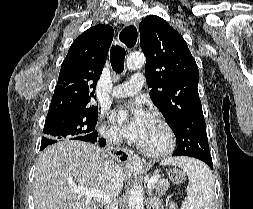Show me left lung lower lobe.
<instances>
[{"mask_svg": "<svg viewBox=\"0 0 253 209\" xmlns=\"http://www.w3.org/2000/svg\"><path fill=\"white\" fill-rule=\"evenodd\" d=\"M173 156H179V155H176L175 153H173ZM194 158L202 160L203 162H205L212 169V158H211V156H209V155H206V156H196Z\"/></svg>", "mask_w": 253, "mask_h": 209, "instance_id": "obj_1", "label": "left lung lower lobe"}]
</instances>
